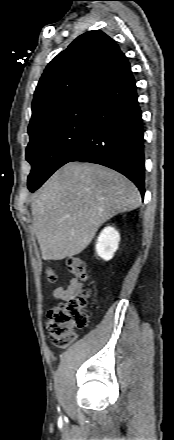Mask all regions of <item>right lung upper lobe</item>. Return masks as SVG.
<instances>
[{
  "label": "right lung upper lobe",
  "instance_id": "obj_1",
  "mask_svg": "<svg viewBox=\"0 0 174 440\" xmlns=\"http://www.w3.org/2000/svg\"><path fill=\"white\" fill-rule=\"evenodd\" d=\"M131 70L117 43L99 30L78 36L46 67L36 87L30 125Z\"/></svg>",
  "mask_w": 174,
  "mask_h": 440
}]
</instances>
